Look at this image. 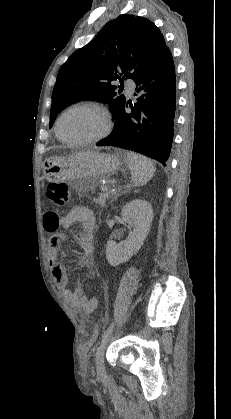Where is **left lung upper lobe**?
Wrapping results in <instances>:
<instances>
[{
    "label": "left lung upper lobe",
    "mask_w": 231,
    "mask_h": 419,
    "mask_svg": "<svg viewBox=\"0 0 231 419\" xmlns=\"http://www.w3.org/2000/svg\"><path fill=\"white\" fill-rule=\"evenodd\" d=\"M168 50L158 27L146 18L125 14L109 21L59 69L50 127L60 111L79 100L108 103L114 115L126 99L117 95L110 82L118 78L123 84L125 76L135 80ZM121 73L125 74L123 79L118 75Z\"/></svg>",
    "instance_id": "obj_1"
}]
</instances>
